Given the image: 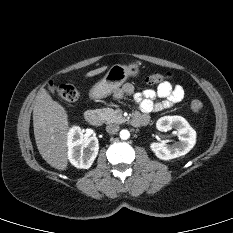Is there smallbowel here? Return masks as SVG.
<instances>
[{"instance_id":"c3829d8e","label":"small bowel","mask_w":233,"mask_h":233,"mask_svg":"<svg viewBox=\"0 0 233 233\" xmlns=\"http://www.w3.org/2000/svg\"><path fill=\"white\" fill-rule=\"evenodd\" d=\"M131 94H134V98L139 106V111L134 115L133 123L135 125H143L149 121L151 113L162 112L180 103L184 98L185 92L182 86H173L169 82L158 85L156 89H146L139 93H135L132 84L126 83L121 89L115 91L117 98Z\"/></svg>"}]
</instances>
